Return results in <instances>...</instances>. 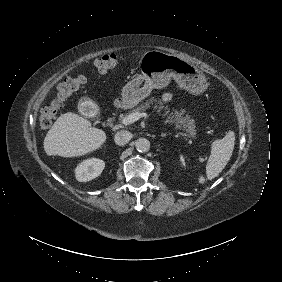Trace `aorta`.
Wrapping results in <instances>:
<instances>
[{
  "instance_id": "762f6f07",
  "label": "aorta",
  "mask_w": 282,
  "mask_h": 282,
  "mask_svg": "<svg viewBox=\"0 0 282 282\" xmlns=\"http://www.w3.org/2000/svg\"><path fill=\"white\" fill-rule=\"evenodd\" d=\"M135 148L139 152H147L150 148V142L146 138H138L135 142Z\"/></svg>"
}]
</instances>
